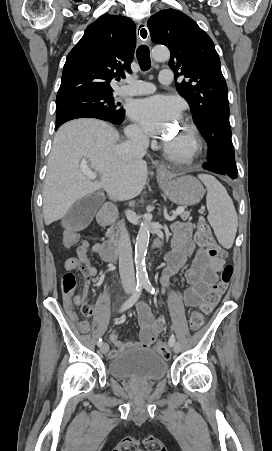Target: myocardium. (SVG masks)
Returning <instances> with one entry per match:
<instances>
[{
    "label": "myocardium",
    "mask_w": 272,
    "mask_h": 451,
    "mask_svg": "<svg viewBox=\"0 0 272 451\" xmlns=\"http://www.w3.org/2000/svg\"><path fill=\"white\" fill-rule=\"evenodd\" d=\"M184 129L188 135L187 140L184 143L172 147V153L177 158L194 155L198 149L197 133L194 127L188 123H184Z\"/></svg>",
    "instance_id": "1"
}]
</instances>
